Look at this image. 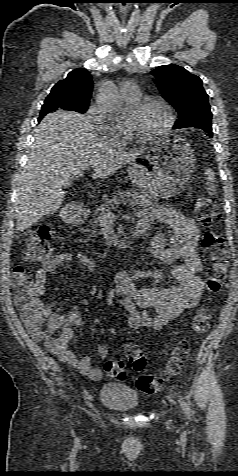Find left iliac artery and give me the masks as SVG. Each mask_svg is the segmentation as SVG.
Returning <instances> with one entry per match:
<instances>
[{
  "instance_id": "44dca946",
  "label": "left iliac artery",
  "mask_w": 238,
  "mask_h": 476,
  "mask_svg": "<svg viewBox=\"0 0 238 476\" xmlns=\"http://www.w3.org/2000/svg\"><path fill=\"white\" fill-rule=\"evenodd\" d=\"M179 402L182 409L184 410V413L187 415L188 418H190L191 411L189 405L181 397H179Z\"/></svg>"
}]
</instances>
